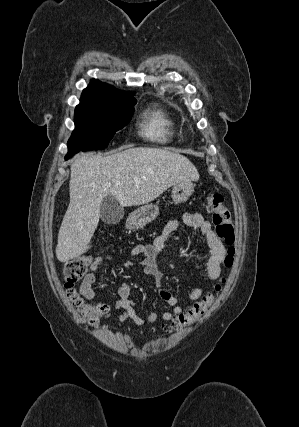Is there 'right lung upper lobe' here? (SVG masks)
<instances>
[{"mask_svg":"<svg viewBox=\"0 0 299 427\" xmlns=\"http://www.w3.org/2000/svg\"><path fill=\"white\" fill-rule=\"evenodd\" d=\"M127 98H133L132 93L120 91L98 80H92L89 86L83 90L81 102H111Z\"/></svg>","mask_w":299,"mask_h":427,"instance_id":"1","label":"right lung upper lobe"}]
</instances>
